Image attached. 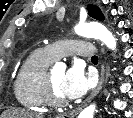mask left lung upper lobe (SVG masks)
Here are the masks:
<instances>
[{"instance_id": "obj_1", "label": "left lung upper lobe", "mask_w": 133, "mask_h": 118, "mask_svg": "<svg viewBox=\"0 0 133 118\" xmlns=\"http://www.w3.org/2000/svg\"><path fill=\"white\" fill-rule=\"evenodd\" d=\"M88 14L90 17L97 19V20H103L104 16L101 12V10L95 6V5H88L87 7Z\"/></svg>"}]
</instances>
